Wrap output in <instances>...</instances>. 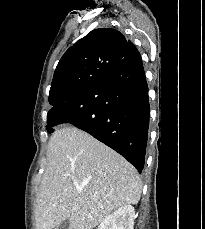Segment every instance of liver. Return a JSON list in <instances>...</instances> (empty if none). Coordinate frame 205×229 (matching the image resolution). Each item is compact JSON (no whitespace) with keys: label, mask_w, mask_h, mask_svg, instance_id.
<instances>
[{"label":"liver","mask_w":205,"mask_h":229,"mask_svg":"<svg viewBox=\"0 0 205 229\" xmlns=\"http://www.w3.org/2000/svg\"><path fill=\"white\" fill-rule=\"evenodd\" d=\"M141 192L136 169L120 154L78 128L62 127L48 142L36 227L53 229L68 219L69 229H93L115 209L137 204Z\"/></svg>","instance_id":"liver-1"}]
</instances>
